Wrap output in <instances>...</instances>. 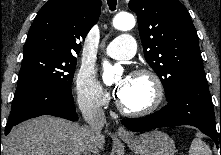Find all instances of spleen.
<instances>
[{"mask_svg": "<svg viewBox=\"0 0 221 155\" xmlns=\"http://www.w3.org/2000/svg\"><path fill=\"white\" fill-rule=\"evenodd\" d=\"M189 155H212V152L200 138H194L189 149Z\"/></svg>", "mask_w": 221, "mask_h": 155, "instance_id": "1", "label": "spleen"}]
</instances>
